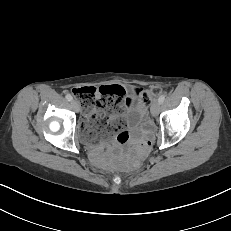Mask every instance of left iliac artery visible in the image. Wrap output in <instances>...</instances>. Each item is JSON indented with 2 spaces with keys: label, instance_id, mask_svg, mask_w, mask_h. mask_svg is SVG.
Listing matches in <instances>:
<instances>
[{
  "label": "left iliac artery",
  "instance_id": "left-iliac-artery-1",
  "mask_svg": "<svg viewBox=\"0 0 231 231\" xmlns=\"http://www.w3.org/2000/svg\"><path fill=\"white\" fill-rule=\"evenodd\" d=\"M165 100V95H161L158 99V102L161 104Z\"/></svg>",
  "mask_w": 231,
  "mask_h": 231
}]
</instances>
